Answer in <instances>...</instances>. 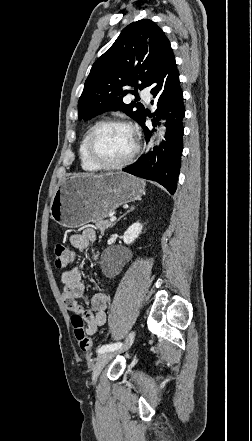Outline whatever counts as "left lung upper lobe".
<instances>
[{
  "mask_svg": "<svg viewBox=\"0 0 252 441\" xmlns=\"http://www.w3.org/2000/svg\"><path fill=\"white\" fill-rule=\"evenodd\" d=\"M167 42L164 32L149 19L125 27L93 64L79 99L78 118L89 120L105 111L122 110L140 124L145 108L139 103L125 104L123 97L149 86ZM130 86L135 92L128 89Z\"/></svg>",
  "mask_w": 252,
  "mask_h": 441,
  "instance_id": "left-lung-upper-lobe-1",
  "label": "left lung upper lobe"
}]
</instances>
